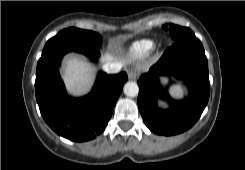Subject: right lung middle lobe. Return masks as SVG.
<instances>
[{
	"instance_id": "dd1d6c3e",
	"label": "right lung middle lobe",
	"mask_w": 245,
	"mask_h": 170,
	"mask_svg": "<svg viewBox=\"0 0 245 170\" xmlns=\"http://www.w3.org/2000/svg\"><path fill=\"white\" fill-rule=\"evenodd\" d=\"M101 42L102 37L96 32L74 27L64 29L46 43L39 62L64 48L99 47Z\"/></svg>"
}]
</instances>
